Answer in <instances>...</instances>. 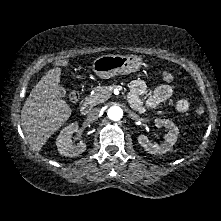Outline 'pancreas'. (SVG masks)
<instances>
[{
    "label": "pancreas",
    "instance_id": "1",
    "mask_svg": "<svg viewBox=\"0 0 221 221\" xmlns=\"http://www.w3.org/2000/svg\"><path fill=\"white\" fill-rule=\"evenodd\" d=\"M111 96V92L107 86L97 87L93 94L86 98L87 103L90 106H95L100 103H104Z\"/></svg>",
    "mask_w": 221,
    "mask_h": 221
}]
</instances>
